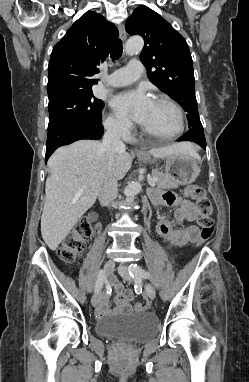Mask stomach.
I'll list each match as a JSON object with an SVG mask.
<instances>
[{"mask_svg": "<svg viewBox=\"0 0 249 382\" xmlns=\"http://www.w3.org/2000/svg\"><path fill=\"white\" fill-rule=\"evenodd\" d=\"M139 159L144 162H154L148 154L139 155ZM165 172L169 177L179 181V184L187 185L195 181L200 168L194 156L185 152H176L165 158Z\"/></svg>", "mask_w": 249, "mask_h": 382, "instance_id": "1", "label": "stomach"}]
</instances>
